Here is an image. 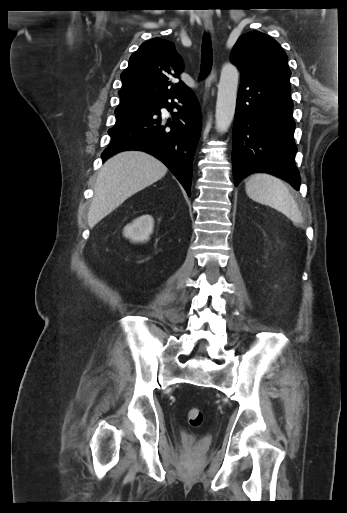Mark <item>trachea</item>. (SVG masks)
I'll return each instance as SVG.
<instances>
[{
    "instance_id": "1",
    "label": "trachea",
    "mask_w": 347,
    "mask_h": 513,
    "mask_svg": "<svg viewBox=\"0 0 347 513\" xmlns=\"http://www.w3.org/2000/svg\"><path fill=\"white\" fill-rule=\"evenodd\" d=\"M212 46L209 35H205L201 50V77H206L212 67Z\"/></svg>"
}]
</instances>
